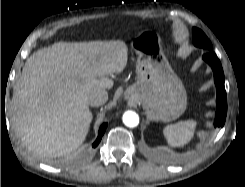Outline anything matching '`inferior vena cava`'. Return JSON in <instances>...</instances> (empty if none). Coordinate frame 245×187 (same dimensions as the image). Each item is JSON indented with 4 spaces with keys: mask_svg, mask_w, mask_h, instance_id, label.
Instances as JSON below:
<instances>
[{
    "mask_svg": "<svg viewBox=\"0 0 245 187\" xmlns=\"http://www.w3.org/2000/svg\"><path fill=\"white\" fill-rule=\"evenodd\" d=\"M108 100V93L105 89L93 91L88 97V103L92 107L104 105Z\"/></svg>",
    "mask_w": 245,
    "mask_h": 187,
    "instance_id": "1",
    "label": "inferior vena cava"
}]
</instances>
